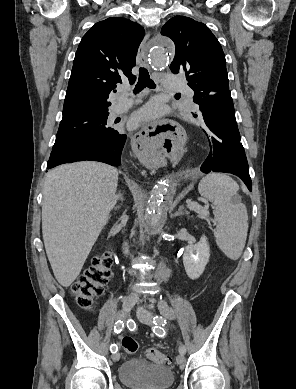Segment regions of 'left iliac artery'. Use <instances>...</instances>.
I'll return each instance as SVG.
<instances>
[{
	"label": "left iliac artery",
	"mask_w": 296,
	"mask_h": 389,
	"mask_svg": "<svg viewBox=\"0 0 296 389\" xmlns=\"http://www.w3.org/2000/svg\"><path fill=\"white\" fill-rule=\"evenodd\" d=\"M153 323L155 324L153 332L158 336H164L165 331L161 326H164L167 323L166 319L162 316L156 315L153 317ZM179 352L185 354L186 348L183 344L179 346Z\"/></svg>",
	"instance_id": "1"
}]
</instances>
